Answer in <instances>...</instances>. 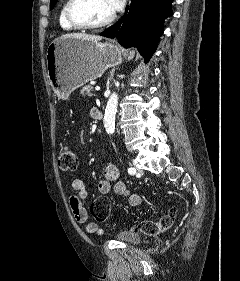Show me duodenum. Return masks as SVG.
Instances as JSON below:
<instances>
[{
	"mask_svg": "<svg viewBox=\"0 0 240 281\" xmlns=\"http://www.w3.org/2000/svg\"><path fill=\"white\" fill-rule=\"evenodd\" d=\"M102 117H103V114H102L101 110L95 109L94 118L100 120V119H102Z\"/></svg>",
	"mask_w": 240,
	"mask_h": 281,
	"instance_id": "1",
	"label": "duodenum"
}]
</instances>
